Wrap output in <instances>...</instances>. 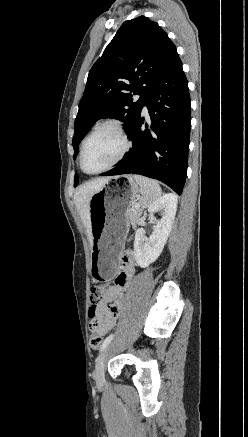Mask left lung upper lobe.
I'll list each match as a JSON object with an SVG mask.
<instances>
[{
  "instance_id": "left-lung-upper-lobe-1",
  "label": "left lung upper lobe",
  "mask_w": 248,
  "mask_h": 437,
  "mask_svg": "<svg viewBox=\"0 0 248 437\" xmlns=\"http://www.w3.org/2000/svg\"><path fill=\"white\" fill-rule=\"evenodd\" d=\"M177 57L175 45L156 22L145 16L125 21L89 71L74 123V157L80 141L101 118L124 122L128 135L147 93ZM133 94L140 98L134 100ZM77 183L75 174L74 186Z\"/></svg>"
}]
</instances>
